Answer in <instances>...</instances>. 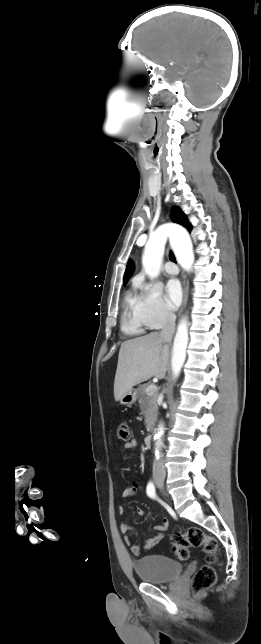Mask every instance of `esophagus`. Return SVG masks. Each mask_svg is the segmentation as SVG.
Returning a JSON list of instances; mask_svg holds the SVG:
<instances>
[{
  "label": "esophagus",
  "mask_w": 261,
  "mask_h": 644,
  "mask_svg": "<svg viewBox=\"0 0 261 644\" xmlns=\"http://www.w3.org/2000/svg\"><path fill=\"white\" fill-rule=\"evenodd\" d=\"M184 291H183V307L186 306L187 300H188V291H189V285L188 281L185 279L184 280Z\"/></svg>",
  "instance_id": "esophagus-1"
}]
</instances>
